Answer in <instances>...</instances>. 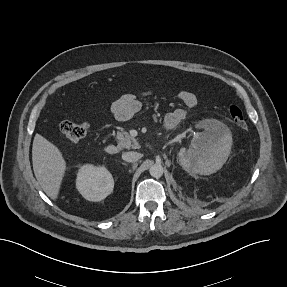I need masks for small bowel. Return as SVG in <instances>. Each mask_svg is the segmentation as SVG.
I'll return each instance as SVG.
<instances>
[{
  "instance_id": "1",
  "label": "small bowel",
  "mask_w": 287,
  "mask_h": 287,
  "mask_svg": "<svg viewBox=\"0 0 287 287\" xmlns=\"http://www.w3.org/2000/svg\"><path fill=\"white\" fill-rule=\"evenodd\" d=\"M144 93L142 95H146ZM181 101L189 108L197 104L196 95L189 90H182L179 93ZM141 109L140 95L134 93L123 94L112 105V112L115 117L121 121L129 120ZM186 117V111L182 108H176L168 112L164 118V125L168 129L176 128Z\"/></svg>"
}]
</instances>
